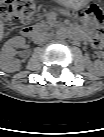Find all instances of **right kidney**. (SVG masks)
<instances>
[{"label": "right kidney", "mask_w": 104, "mask_h": 137, "mask_svg": "<svg viewBox=\"0 0 104 137\" xmlns=\"http://www.w3.org/2000/svg\"><path fill=\"white\" fill-rule=\"evenodd\" d=\"M25 38L16 36L9 39L0 51V69L4 72H16L20 69L21 63L14 59L17 48L25 46Z\"/></svg>", "instance_id": "obj_1"}]
</instances>
